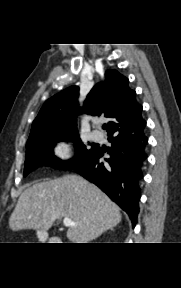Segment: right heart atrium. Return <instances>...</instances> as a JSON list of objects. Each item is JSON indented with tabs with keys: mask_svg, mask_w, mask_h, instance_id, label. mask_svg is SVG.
<instances>
[{
	"mask_svg": "<svg viewBox=\"0 0 181 288\" xmlns=\"http://www.w3.org/2000/svg\"><path fill=\"white\" fill-rule=\"evenodd\" d=\"M54 157L61 161L68 160L72 155L71 143L67 139H60L54 143L52 148Z\"/></svg>",
	"mask_w": 181,
	"mask_h": 288,
	"instance_id": "d8ad5b80",
	"label": "right heart atrium"
}]
</instances>
